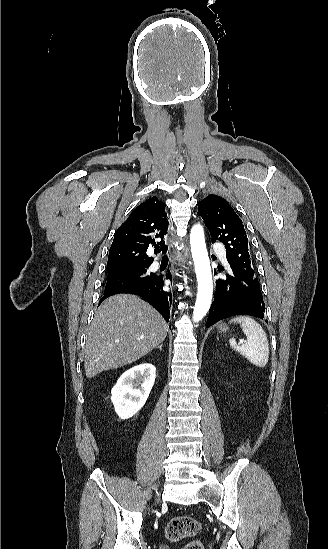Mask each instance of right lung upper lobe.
Wrapping results in <instances>:
<instances>
[{"mask_svg":"<svg viewBox=\"0 0 328 549\" xmlns=\"http://www.w3.org/2000/svg\"><path fill=\"white\" fill-rule=\"evenodd\" d=\"M168 229L165 203L155 196L136 207L128 219L118 228L108 256V274L135 268H148L153 258L146 252L161 238L160 251H167L163 241Z\"/></svg>","mask_w":328,"mask_h":549,"instance_id":"obj_1","label":"right lung upper lobe"}]
</instances>
